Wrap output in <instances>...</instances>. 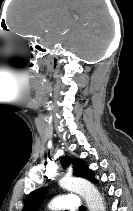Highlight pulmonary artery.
<instances>
[{"label": "pulmonary artery", "mask_w": 133, "mask_h": 211, "mask_svg": "<svg viewBox=\"0 0 133 211\" xmlns=\"http://www.w3.org/2000/svg\"><path fill=\"white\" fill-rule=\"evenodd\" d=\"M80 206V199L76 194H62L57 196L51 204L52 209H67L75 211Z\"/></svg>", "instance_id": "1"}]
</instances>
